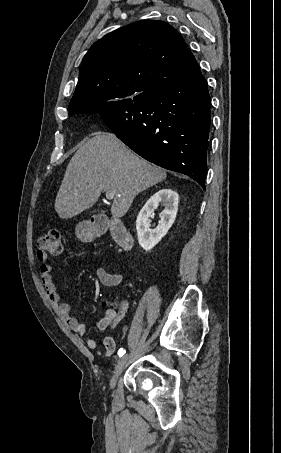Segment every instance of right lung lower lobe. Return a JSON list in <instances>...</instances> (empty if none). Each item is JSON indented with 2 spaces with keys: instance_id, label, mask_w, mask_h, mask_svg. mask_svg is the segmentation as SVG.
Masks as SVG:
<instances>
[{
  "instance_id": "right-lung-lower-lobe-1",
  "label": "right lung lower lobe",
  "mask_w": 281,
  "mask_h": 453,
  "mask_svg": "<svg viewBox=\"0 0 281 453\" xmlns=\"http://www.w3.org/2000/svg\"><path fill=\"white\" fill-rule=\"evenodd\" d=\"M208 85L196 63L182 76L130 101L98 111L112 132L137 154L188 175L205 189L211 122Z\"/></svg>"
}]
</instances>
